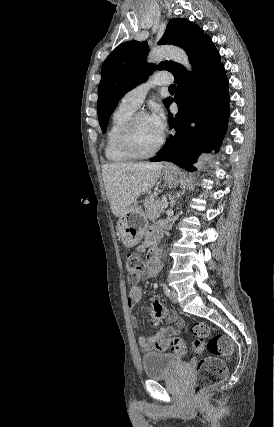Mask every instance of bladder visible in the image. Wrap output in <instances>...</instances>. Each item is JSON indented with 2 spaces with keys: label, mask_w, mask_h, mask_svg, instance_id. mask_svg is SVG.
Returning a JSON list of instances; mask_svg holds the SVG:
<instances>
[{
  "label": "bladder",
  "mask_w": 274,
  "mask_h": 427,
  "mask_svg": "<svg viewBox=\"0 0 274 427\" xmlns=\"http://www.w3.org/2000/svg\"><path fill=\"white\" fill-rule=\"evenodd\" d=\"M144 374L147 379H158L175 373L180 361L174 353H147L141 357Z\"/></svg>",
  "instance_id": "obj_1"
}]
</instances>
